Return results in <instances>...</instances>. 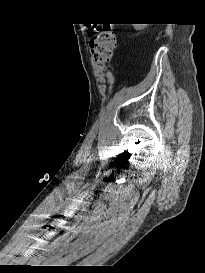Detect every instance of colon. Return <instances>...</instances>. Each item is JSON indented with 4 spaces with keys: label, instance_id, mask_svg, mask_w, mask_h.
Wrapping results in <instances>:
<instances>
[{
    "label": "colon",
    "instance_id": "5ec220e1",
    "mask_svg": "<svg viewBox=\"0 0 205 273\" xmlns=\"http://www.w3.org/2000/svg\"><path fill=\"white\" fill-rule=\"evenodd\" d=\"M116 44L112 26L100 25L96 28L93 38L89 42L94 64L103 68L109 63Z\"/></svg>",
    "mask_w": 205,
    "mask_h": 273
}]
</instances>
